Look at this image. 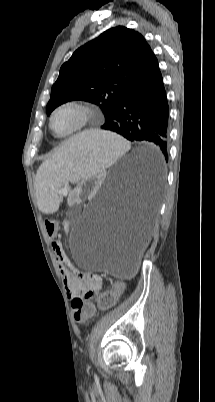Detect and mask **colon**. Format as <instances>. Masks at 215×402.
<instances>
[{
    "label": "colon",
    "instance_id": "5ec220e1",
    "mask_svg": "<svg viewBox=\"0 0 215 402\" xmlns=\"http://www.w3.org/2000/svg\"><path fill=\"white\" fill-rule=\"evenodd\" d=\"M46 231L48 235L53 238V240L57 237L59 232L58 223L53 220L49 219L46 220L45 223ZM80 276L82 277H92L90 273H81ZM124 283L123 282H116L113 285V288L107 292L100 294L97 297V306L101 310H106L112 307L117 298H124L125 291H124ZM94 292L88 293L86 296L83 297H75L72 300V309L74 318L77 322H84L93 314V307L88 304L87 300L93 295Z\"/></svg>",
    "mask_w": 215,
    "mask_h": 402
}]
</instances>
